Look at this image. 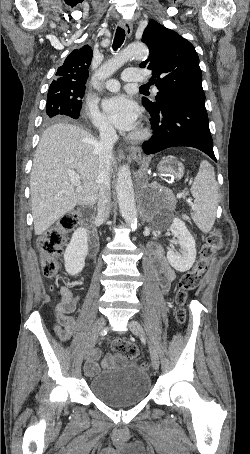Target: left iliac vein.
<instances>
[{
  "label": "left iliac vein",
  "mask_w": 250,
  "mask_h": 454,
  "mask_svg": "<svg viewBox=\"0 0 250 454\" xmlns=\"http://www.w3.org/2000/svg\"><path fill=\"white\" fill-rule=\"evenodd\" d=\"M128 327L130 328L131 332L136 335V336H143L144 331L140 323L134 319H131L128 323ZM149 350H150V357H151V362L152 366L155 370H158L159 368V356L152 344H149Z\"/></svg>",
  "instance_id": "obj_1"
}]
</instances>
